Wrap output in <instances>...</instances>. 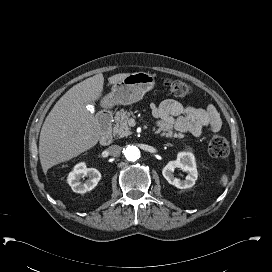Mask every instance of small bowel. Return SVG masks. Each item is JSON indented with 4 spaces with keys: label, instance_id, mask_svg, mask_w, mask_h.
Listing matches in <instances>:
<instances>
[{
    "label": "small bowel",
    "instance_id": "obj_1",
    "mask_svg": "<svg viewBox=\"0 0 272 272\" xmlns=\"http://www.w3.org/2000/svg\"><path fill=\"white\" fill-rule=\"evenodd\" d=\"M152 112L165 131L175 129L201 137L203 128L210 127L217 131L221 127L219 113L212 104L206 108H196L167 99L158 107L153 105Z\"/></svg>",
    "mask_w": 272,
    "mask_h": 272
}]
</instances>
